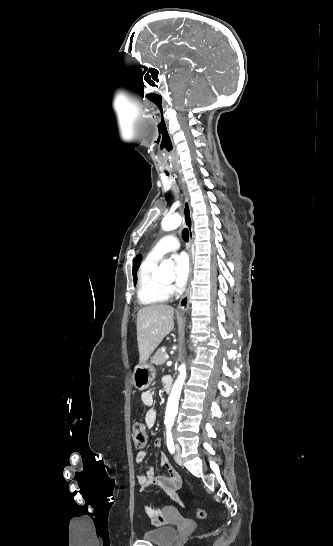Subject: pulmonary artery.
Masks as SVG:
<instances>
[{"mask_svg": "<svg viewBox=\"0 0 333 546\" xmlns=\"http://www.w3.org/2000/svg\"><path fill=\"white\" fill-rule=\"evenodd\" d=\"M179 247L180 243L178 239L174 235L168 234L164 236L161 240H159V242L149 252L148 257L154 260H159L166 253L170 251H175L179 249Z\"/></svg>", "mask_w": 333, "mask_h": 546, "instance_id": "e3ab8cb5", "label": "pulmonary artery"}]
</instances>
